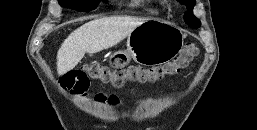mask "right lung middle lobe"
Instances as JSON below:
<instances>
[{
	"mask_svg": "<svg viewBox=\"0 0 257 130\" xmlns=\"http://www.w3.org/2000/svg\"><path fill=\"white\" fill-rule=\"evenodd\" d=\"M59 2L65 7L89 11L95 9L100 0H59Z\"/></svg>",
	"mask_w": 257,
	"mask_h": 130,
	"instance_id": "obj_1",
	"label": "right lung middle lobe"
}]
</instances>
